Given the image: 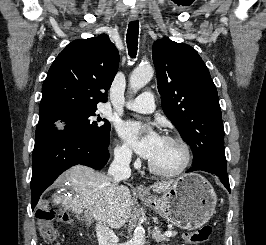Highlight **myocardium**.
<instances>
[{
    "label": "myocardium",
    "mask_w": 266,
    "mask_h": 245,
    "mask_svg": "<svg viewBox=\"0 0 266 245\" xmlns=\"http://www.w3.org/2000/svg\"><path fill=\"white\" fill-rule=\"evenodd\" d=\"M164 139L170 140V141H175L181 145V147L183 149V154H184V159H183V163H182L181 167L174 172H162V171L157 170L149 161L148 169H149L151 174H153L157 177L175 178V177L181 176L182 174H184L188 170V168L192 162L191 147L183 138L176 136V135H166V136H164Z\"/></svg>",
    "instance_id": "f54148a6"
}]
</instances>
